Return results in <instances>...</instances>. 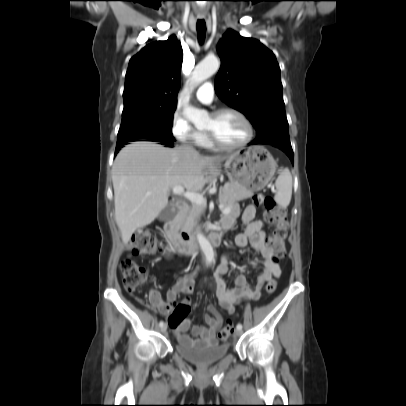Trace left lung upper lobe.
Masks as SVG:
<instances>
[{"label":"left lung upper lobe","instance_id":"obj_1","mask_svg":"<svg viewBox=\"0 0 406 406\" xmlns=\"http://www.w3.org/2000/svg\"><path fill=\"white\" fill-rule=\"evenodd\" d=\"M221 67L215 79L218 97L244 113L256 139L289 140L280 68L260 41L228 29L217 45Z\"/></svg>","mask_w":406,"mask_h":406}]
</instances>
